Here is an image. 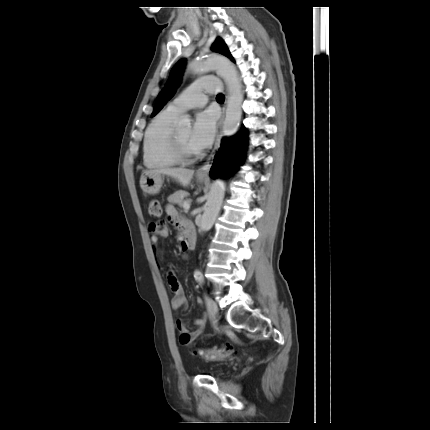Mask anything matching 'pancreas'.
<instances>
[{
  "label": "pancreas",
  "mask_w": 430,
  "mask_h": 430,
  "mask_svg": "<svg viewBox=\"0 0 430 430\" xmlns=\"http://www.w3.org/2000/svg\"><path fill=\"white\" fill-rule=\"evenodd\" d=\"M189 193L184 190H177L174 194L170 195L167 200L169 202H173L178 204L179 206H183V198L187 197Z\"/></svg>",
  "instance_id": "1"
}]
</instances>
